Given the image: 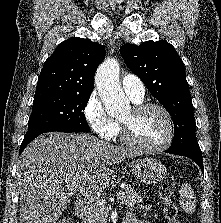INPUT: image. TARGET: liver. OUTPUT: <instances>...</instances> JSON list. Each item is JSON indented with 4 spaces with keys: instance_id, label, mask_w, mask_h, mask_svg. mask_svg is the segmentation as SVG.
Returning a JSON list of instances; mask_svg holds the SVG:
<instances>
[{
    "instance_id": "6515ba94",
    "label": "liver",
    "mask_w": 221,
    "mask_h": 223,
    "mask_svg": "<svg viewBox=\"0 0 221 223\" xmlns=\"http://www.w3.org/2000/svg\"><path fill=\"white\" fill-rule=\"evenodd\" d=\"M137 154L135 149L89 134L51 132L38 136L17 162L20 223H56L70 205L64 184L102 191L115 179L112 166Z\"/></svg>"
}]
</instances>
